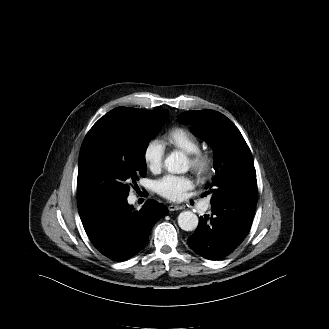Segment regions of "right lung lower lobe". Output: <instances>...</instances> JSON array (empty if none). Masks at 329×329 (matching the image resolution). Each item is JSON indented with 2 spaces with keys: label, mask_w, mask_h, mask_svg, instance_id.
Here are the masks:
<instances>
[{
  "label": "right lung lower lobe",
  "mask_w": 329,
  "mask_h": 329,
  "mask_svg": "<svg viewBox=\"0 0 329 329\" xmlns=\"http://www.w3.org/2000/svg\"><path fill=\"white\" fill-rule=\"evenodd\" d=\"M126 198L101 194L79 207L83 227L92 243L103 255L116 261H125L142 250L153 225L168 212L154 200L134 211Z\"/></svg>",
  "instance_id": "right-lung-lower-lobe-1"
}]
</instances>
